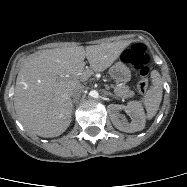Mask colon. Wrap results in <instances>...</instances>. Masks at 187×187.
Instances as JSON below:
<instances>
[{"label": "colon", "instance_id": "colon-1", "mask_svg": "<svg viewBox=\"0 0 187 187\" xmlns=\"http://www.w3.org/2000/svg\"><path fill=\"white\" fill-rule=\"evenodd\" d=\"M122 59L125 63L131 64L137 71L138 79L136 88L139 93H145L148 87V73L150 57L143 44H134L125 50Z\"/></svg>", "mask_w": 187, "mask_h": 187}]
</instances>
